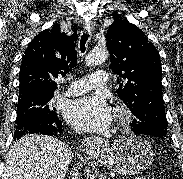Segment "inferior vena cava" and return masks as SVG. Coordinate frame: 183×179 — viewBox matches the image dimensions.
I'll list each match as a JSON object with an SVG mask.
<instances>
[{
	"label": "inferior vena cava",
	"instance_id": "inferior-vena-cava-1",
	"mask_svg": "<svg viewBox=\"0 0 183 179\" xmlns=\"http://www.w3.org/2000/svg\"><path fill=\"white\" fill-rule=\"evenodd\" d=\"M72 173V176L73 178L72 179H80V176H79V173H78V168H74V171L71 172Z\"/></svg>",
	"mask_w": 183,
	"mask_h": 179
}]
</instances>
